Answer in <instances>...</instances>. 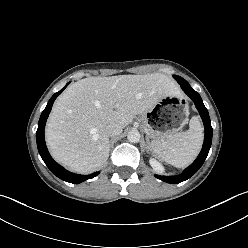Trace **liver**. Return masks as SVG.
Returning <instances> with one entry per match:
<instances>
[{
    "label": "liver",
    "mask_w": 248,
    "mask_h": 248,
    "mask_svg": "<svg viewBox=\"0 0 248 248\" xmlns=\"http://www.w3.org/2000/svg\"><path fill=\"white\" fill-rule=\"evenodd\" d=\"M174 94H178L175 82L162 73L79 80L53 105L45 132L51 155L71 171L93 172L109 157V124L125 128L134 116Z\"/></svg>",
    "instance_id": "liver-1"
}]
</instances>
